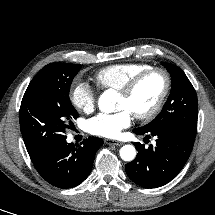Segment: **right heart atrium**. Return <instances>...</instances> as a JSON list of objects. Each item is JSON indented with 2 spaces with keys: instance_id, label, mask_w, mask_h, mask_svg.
Wrapping results in <instances>:
<instances>
[{
  "instance_id": "1",
  "label": "right heart atrium",
  "mask_w": 215,
  "mask_h": 215,
  "mask_svg": "<svg viewBox=\"0 0 215 215\" xmlns=\"http://www.w3.org/2000/svg\"><path fill=\"white\" fill-rule=\"evenodd\" d=\"M70 100L77 110L90 113L95 107L96 92L88 82L78 81L70 89Z\"/></svg>"
}]
</instances>
